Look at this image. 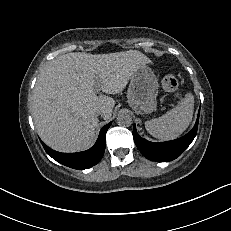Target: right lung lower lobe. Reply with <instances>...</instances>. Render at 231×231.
Segmentation results:
<instances>
[{"instance_id":"1","label":"right lung lower lobe","mask_w":231,"mask_h":231,"mask_svg":"<svg viewBox=\"0 0 231 231\" xmlns=\"http://www.w3.org/2000/svg\"><path fill=\"white\" fill-rule=\"evenodd\" d=\"M111 122L105 125L99 134V137L95 145L89 150L79 152V153H60L50 149L42 141V145L49 156H51L57 162L68 166L73 169H88L96 165L103 157L105 151V137Z\"/></svg>"}]
</instances>
